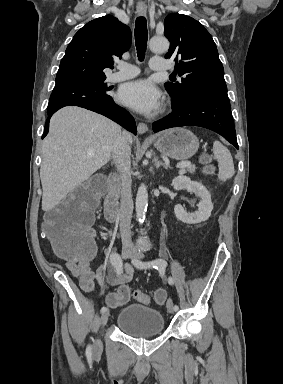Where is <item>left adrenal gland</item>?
<instances>
[{"mask_svg":"<svg viewBox=\"0 0 283 384\" xmlns=\"http://www.w3.org/2000/svg\"><path fill=\"white\" fill-rule=\"evenodd\" d=\"M155 166H156V168H160V166H163V168H165V170H168V168H169V166H167V164H163V162H159L158 156H155Z\"/></svg>","mask_w":283,"mask_h":384,"instance_id":"left-adrenal-gland-1","label":"left adrenal gland"}]
</instances>
